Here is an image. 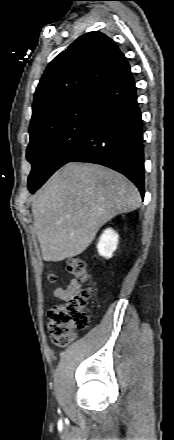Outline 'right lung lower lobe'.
I'll return each instance as SVG.
<instances>
[{"label": "right lung lower lobe", "instance_id": "obj_1", "mask_svg": "<svg viewBox=\"0 0 174 440\" xmlns=\"http://www.w3.org/2000/svg\"><path fill=\"white\" fill-rule=\"evenodd\" d=\"M95 97L85 136L66 163L89 162L114 169L130 179L143 198V126L131 71L98 90Z\"/></svg>", "mask_w": 174, "mask_h": 440}]
</instances>
